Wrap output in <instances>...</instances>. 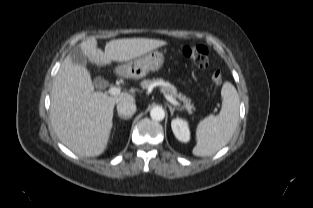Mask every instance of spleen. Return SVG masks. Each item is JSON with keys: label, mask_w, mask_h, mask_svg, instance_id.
Here are the masks:
<instances>
[{"label": "spleen", "mask_w": 313, "mask_h": 208, "mask_svg": "<svg viewBox=\"0 0 313 208\" xmlns=\"http://www.w3.org/2000/svg\"><path fill=\"white\" fill-rule=\"evenodd\" d=\"M222 108L217 116L209 115L196 129L195 156H211L223 148L232 138L239 119L240 100L236 88L225 82L221 89Z\"/></svg>", "instance_id": "spleen-1"}]
</instances>
